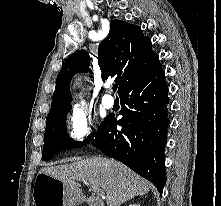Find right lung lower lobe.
Masks as SVG:
<instances>
[{
  "mask_svg": "<svg viewBox=\"0 0 221 206\" xmlns=\"http://www.w3.org/2000/svg\"><path fill=\"white\" fill-rule=\"evenodd\" d=\"M164 75L158 62L129 83L119 94L123 117L116 121L109 115L91 140L104 154L152 182L161 194L166 183L164 147L169 125ZM117 125L122 129L117 130Z\"/></svg>",
  "mask_w": 221,
  "mask_h": 206,
  "instance_id": "1",
  "label": "right lung lower lobe"
}]
</instances>
